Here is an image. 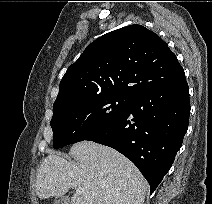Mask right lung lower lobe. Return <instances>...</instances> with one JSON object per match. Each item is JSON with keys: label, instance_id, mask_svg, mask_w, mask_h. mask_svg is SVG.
Instances as JSON below:
<instances>
[{"label": "right lung lower lobe", "instance_id": "98d812e1", "mask_svg": "<svg viewBox=\"0 0 212 204\" xmlns=\"http://www.w3.org/2000/svg\"><path fill=\"white\" fill-rule=\"evenodd\" d=\"M189 115V89L183 74L165 86L130 96L115 123L85 140L125 155L141 171L153 193L182 145Z\"/></svg>", "mask_w": 212, "mask_h": 204}]
</instances>
